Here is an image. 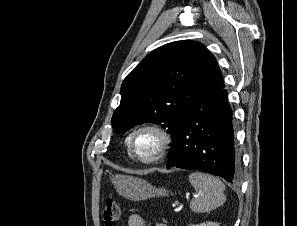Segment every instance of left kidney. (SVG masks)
<instances>
[{"instance_id": "5707ae66", "label": "left kidney", "mask_w": 297, "mask_h": 226, "mask_svg": "<svg viewBox=\"0 0 297 226\" xmlns=\"http://www.w3.org/2000/svg\"><path fill=\"white\" fill-rule=\"evenodd\" d=\"M189 226H219V224L215 223V222L208 221L206 223H201V224H197V225H189Z\"/></svg>"}]
</instances>
